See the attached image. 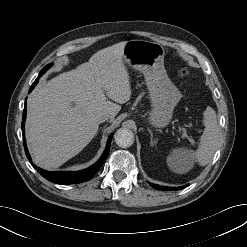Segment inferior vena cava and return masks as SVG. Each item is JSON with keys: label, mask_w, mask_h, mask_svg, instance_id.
<instances>
[{"label": "inferior vena cava", "mask_w": 247, "mask_h": 247, "mask_svg": "<svg viewBox=\"0 0 247 247\" xmlns=\"http://www.w3.org/2000/svg\"><path fill=\"white\" fill-rule=\"evenodd\" d=\"M111 118V116L109 114H102L99 116V122H105L108 121Z\"/></svg>", "instance_id": "602c4592"}]
</instances>
